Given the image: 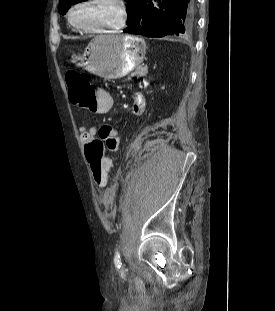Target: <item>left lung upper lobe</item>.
I'll use <instances>...</instances> for the list:
<instances>
[{"instance_id":"5c2ea615","label":"left lung upper lobe","mask_w":275,"mask_h":311,"mask_svg":"<svg viewBox=\"0 0 275 311\" xmlns=\"http://www.w3.org/2000/svg\"><path fill=\"white\" fill-rule=\"evenodd\" d=\"M85 0H60L59 9L61 14L64 15L68 11V9L76 3L82 2ZM128 3L127 13H128V21L127 23H132L144 2V0H125Z\"/></svg>"}]
</instances>
